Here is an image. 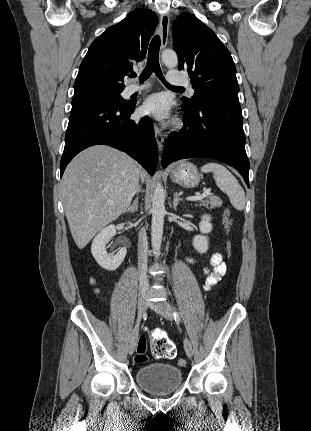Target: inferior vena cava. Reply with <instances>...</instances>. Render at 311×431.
Masks as SVG:
<instances>
[{"mask_svg": "<svg viewBox=\"0 0 311 431\" xmlns=\"http://www.w3.org/2000/svg\"><path fill=\"white\" fill-rule=\"evenodd\" d=\"M136 192H139L136 190ZM148 261V239L146 229H141L138 235V271H139V289L140 293H146L149 290V281L147 277Z\"/></svg>", "mask_w": 311, "mask_h": 431, "instance_id": "inferior-vena-cava-1", "label": "inferior vena cava"}]
</instances>
